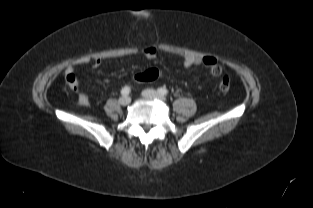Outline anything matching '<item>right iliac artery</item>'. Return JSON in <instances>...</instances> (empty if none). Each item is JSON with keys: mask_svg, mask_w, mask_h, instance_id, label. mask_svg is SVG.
Here are the masks:
<instances>
[{"mask_svg": "<svg viewBox=\"0 0 313 208\" xmlns=\"http://www.w3.org/2000/svg\"><path fill=\"white\" fill-rule=\"evenodd\" d=\"M130 87H128V86H126V87H124V88H122V90H121V94L123 95V96H127L129 93H130Z\"/></svg>", "mask_w": 313, "mask_h": 208, "instance_id": "1", "label": "right iliac artery"}]
</instances>
